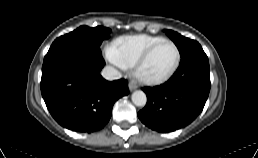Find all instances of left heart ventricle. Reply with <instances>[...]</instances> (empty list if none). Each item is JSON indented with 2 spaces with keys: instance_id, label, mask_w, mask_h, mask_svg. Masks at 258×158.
Wrapping results in <instances>:
<instances>
[{
  "instance_id": "1",
  "label": "left heart ventricle",
  "mask_w": 258,
  "mask_h": 158,
  "mask_svg": "<svg viewBox=\"0 0 258 158\" xmlns=\"http://www.w3.org/2000/svg\"><path fill=\"white\" fill-rule=\"evenodd\" d=\"M175 61V47L170 43L161 44L143 66L142 73L149 77L162 76L174 65Z\"/></svg>"
}]
</instances>
